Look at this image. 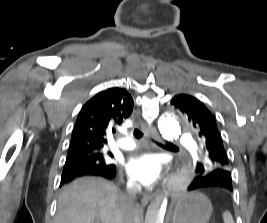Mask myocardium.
Returning a JSON list of instances; mask_svg holds the SVG:
<instances>
[{"label": "myocardium", "mask_w": 267, "mask_h": 223, "mask_svg": "<svg viewBox=\"0 0 267 223\" xmlns=\"http://www.w3.org/2000/svg\"><path fill=\"white\" fill-rule=\"evenodd\" d=\"M188 181H189V174L187 172H181L175 177L171 186L174 189H183L186 187Z\"/></svg>", "instance_id": "obj_1"}]
</instances>
